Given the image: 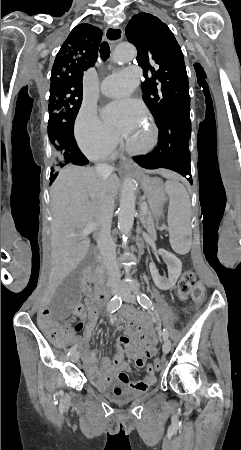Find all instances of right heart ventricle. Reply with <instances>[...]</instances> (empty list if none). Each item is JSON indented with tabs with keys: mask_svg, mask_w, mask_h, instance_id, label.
I'll list each match as a JSON object with an SVG mask.
<instances>
[{
	"mask_svg": "<svg viewBox=\"0 0 241 450\" xmlns=\"http://www.w3.org/2000/svg\"><path fill=\"white\" fill-rule=\"evenodd\" d=\"M135 124H127V126H134Z\"/></svg>",
	"mask_w": 241,
	"mask_h": 450,
	"instance_id": "right-heart-ventricle-1",
	"label": "right heart ventricle"
}]
</instances>
